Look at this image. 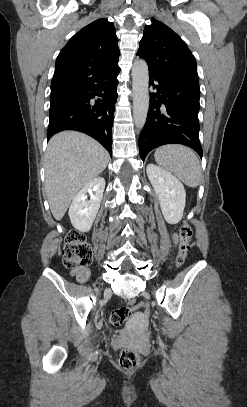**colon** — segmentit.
Masks as SVG:
<instances>
[{
	"label": "colon",
	"mask_w": 247,
	"mask_h": 407,
	"mask_svg": "<svg viewBox=\"0 0 247 407\" xmlns=\"http://www.w3.org/2000/svg\"><path fill=\"white\" fill-rule=\"evenodd\" d=\"M180 247L177 257V266H181L190 249V238L192 228L188 222H183L179 227ZM93 256V251L87 243L85 236L75 230H71L66 235L63 249V263L67 268H76L88 265ZM146 302H137L136 299L130 298L127 306L113 310L109 315L111 324L121 325L131 314L132 310L146 308ZM118 365L122 370L132 371L140 365L139 355L130 349H124L118 359Z\"/></svg>",
	"instance_id": "colon-1"
}]
</instances>
